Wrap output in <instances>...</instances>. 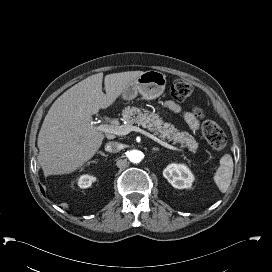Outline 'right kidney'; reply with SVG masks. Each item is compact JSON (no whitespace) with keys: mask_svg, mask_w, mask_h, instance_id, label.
Listing matches in <instances>:
<instances>
[{"mask_svg":"<svg viewBox=\"0 0 272 272\" xmlns=\"http://www.w3.org/2000/svg\"><path fill=\"white\" fill-rule=\"evenodd\" d=\"M94 181H96V178L88 174L81 175L77 179L78 186L83 189L90 187Z\"/></svg>","mask_w":272,"mask_h":272,"instance_id":"1","label":"right kidney"}]
</instances>
